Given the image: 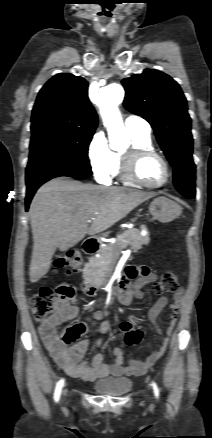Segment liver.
<instances>
[{
	"mask_svg": "<svg viewBox=\"0 0 212 438\" xmlns=\"http://www.w3.org/2000/svg\"><path fill=\"white\" fill-rule=\"evenodd\" d=\"M154 196L152 192L83 184L65 177L45 183L29 210L33 234L30 281L37 282L49 271L57 248L66 251L86 234L94 236L107 230ZM91 217L95 219L88 227Z\"/></svg>",
	"mask_w": 212,
	"mask_h": 438,
	"instance_id": "obj_1",
	"label": "liver"
}]
</instances>
